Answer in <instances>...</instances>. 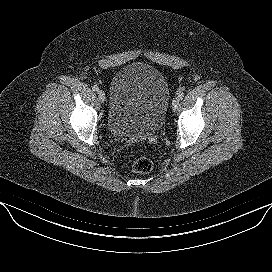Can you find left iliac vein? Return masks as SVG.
<instances>
[{
    "label": "left iliac vein",
    "mask_w": 272,
    "mask_h": 272,
    "mask_svg": "<svg viewBox=\"0 0 272 272\" xmlns=\"http://www.w3.org/2000/svg\"><path fill=\"white\" fill-rule=\"evenodd\" d=\"M180 104V98L179 97H175L172 101V108L173 110H176L178 108Z\"/></svg>",
    "instance_id": "4c4485c4"
}]
</instances>
